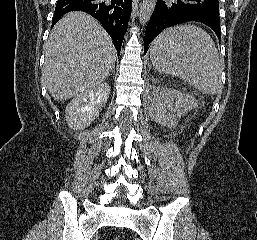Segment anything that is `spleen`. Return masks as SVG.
Wrapping results in <instances>:
<instances>
[{"label":"spleen","mask_w":257,"mask_h":240,"mask_svg":"<svg viewBox=\"0 0 257 240\" xmlns=\"http://www.w3.org/2000/svg\"><path fill=\"white\" fill-rule=\"evenodd\" d=\"M154 69L179 77L199 91H222L223 61L211 36L195 25H180L160 33L150 46Z\"/></svg>","instance_id":"1"}]
</instances>
